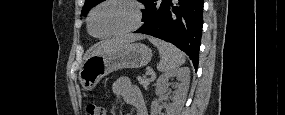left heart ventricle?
<instances>
[{"label":"left heart ventricle","instance_id":"obj_1","mask_svg":"<svg viewBox=\"0 0 285 115\" xmlns=\"http://www.w3.org/2000/svg\"><path fill=\"white\" fill-rule=\"evenodd\" d=\"M134 17L131 8L121 3H106L92 16L91 26L96 34H107L129 28Z\"/></svg>","mask_w":285,"mask_h":115}]
</instances>
